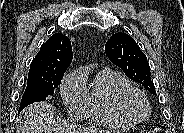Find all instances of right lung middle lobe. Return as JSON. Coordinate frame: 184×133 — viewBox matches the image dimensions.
<instances>
[{
    "mask_svg": "<svg viewBox=\"0 0 184 133\" xmlns=\"http://www.w3.org/2000/svg\"><path fill=\"white\" fill-rule=\"evenodd\" d=\"M62 77H55L48 82L27 83V87L22 96L19 112L26 106L39 101H44L48 96L54 94V89L61 83Z\"/></svg>",
    "mask_w": 184,
    "mask_h": 133,
    "instance_id": "obj_1",
    "label": "right lung middle lobe"
}]
</instances>
